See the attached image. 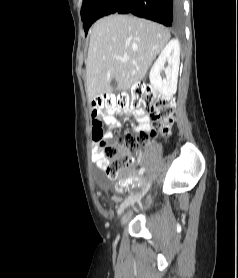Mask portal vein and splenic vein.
I'll return each mask as SVG.
<instances>
[{"label": "portal vein and splenic vein", "mask_w": 238, "mask_h": 278, "mask_svg": "<svg viewBox=\"0 0 238 278\" xmlns=\"http://www.w3.org/2000/svg\"><path fill=\"white\" fill-rule=\"evenodd\" d=\"M127 60H129V57H128V56H124V57L122 58V61H127Z\"/></svg>", "instance_id": "1"}]
</instances>
